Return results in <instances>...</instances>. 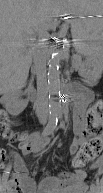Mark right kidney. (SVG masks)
I'll use <instances>...</instances> for the list:
<instances>
[{"label":"right kidney","mask_w":103,"mask_h":193,"mask_svg":"<svg viewBox=\"0 0 103 193\" xmlns=\"http://www.w3.org/2000/svg\"><path fill=\"white\" fill-rule=\"evenodd\" d=\"M2 93L1 103L7 112L13 113L16 110L21 109L17 104L19 87L15 83L7 82L3 87Z\"/></svg>","instance_id":"1"}]
</instances>
